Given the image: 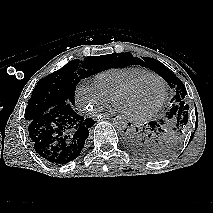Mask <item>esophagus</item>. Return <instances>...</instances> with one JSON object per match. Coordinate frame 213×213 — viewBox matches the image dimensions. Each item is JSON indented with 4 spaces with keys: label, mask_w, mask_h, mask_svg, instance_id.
Returning <instances> with one entry per match:
<instances>
[{
    "label": "esophagus",
    "mask_w": 213,
    "mask_h": 213,
    "mask_svg": "<svg viewBox=\"0 0 213 213\" xmlns=\"http://www.w3.org/2000/svg\"><path fill=\"white\" fill-rule=\"evenodd\" d=\"M113 116H115V115H109V114H102L101 115V117L103 118V119H108V118H110V117H113Z\"/></svg>",
    "instance_id": "esophagus-1"
}]
</instances>
